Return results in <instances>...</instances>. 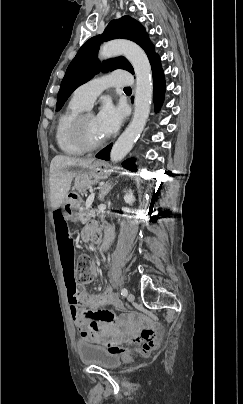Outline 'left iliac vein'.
Segmentation results:
<instances>
[{"instance_id":"1","label":"left iliac vein","mask_w":243,"mask_h":404,"mask_svg":"<svg viewBox=\"0 0 243 404\" xmlns=\"http://www.w3.org/2000/svg\"><path fill=\"white\" fill-rule=\"evenodd\" d=\"M127 299H128L129 302H132V301H134L135 297H134V295L132 293H129L128 296H127Z\"/></svg>"}]
</instances>
